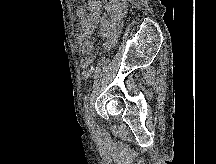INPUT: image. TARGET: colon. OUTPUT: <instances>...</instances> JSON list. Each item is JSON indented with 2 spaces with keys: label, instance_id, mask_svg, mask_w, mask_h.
Returning <instances> with one entry per match:
<instances>
[{
  "label": "colon",
  "instance_id": "1",
  "mask_svg": "<svg viewBox=\"0 0 216 164\" xmlns=\"http://www.w3.org/2000/svg\"><path fill=\"white\" fill-rule=\"evenodd\" d=\"M82 77L89 78L94 73V66L91 63H82Z\"/></svg>",
  "mask_w": 216,
  "mask_h": 164
}]
</instances>
